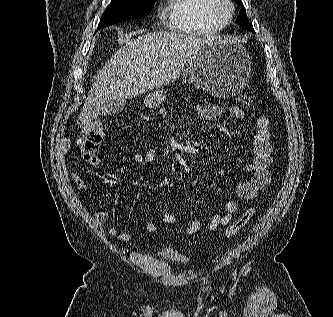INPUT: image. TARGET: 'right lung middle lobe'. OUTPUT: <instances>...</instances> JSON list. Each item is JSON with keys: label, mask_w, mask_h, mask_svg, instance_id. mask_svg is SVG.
Wrapping results in <instances>:
<instances>
[{"label": "right lung middle lobe", "mask_w": 333, "mask_h": 317, "mask_svg": "<svg viewBox=\"0 0 333 317\" xmlns=\"http://www.w3.org/2000/svg\"><path fill=\"white\" fill-rule=\"evenodd\" d=\"M156 0H112L101 16L98 29L138 18L151 12Z\"/></svg>", "instance_id": "1"}]
</instances>
